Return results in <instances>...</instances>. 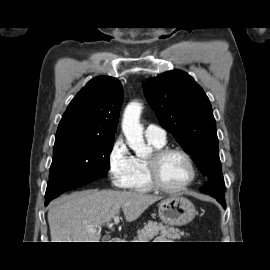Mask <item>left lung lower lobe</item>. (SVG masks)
Wrapping results in <instances>:
<instances>
[{"label": "left lung lower lobe", "instance_id": "obj_1", "mask_svg": "<svg viewBox=\"0 0 270 270\" xmlns=\"http://www.w3.org/2000/svg\"><path fill=\"white\" fill-rule=\"evenodd\" d=\"M201 191L203 193H206L212 197H214L221 205L223 208H226V203H225V183L224 179L222 177H217L211 181H209L202 189Z\"/></svg>", "mask_w": 270, "mask_h": 270}]
</instances>
